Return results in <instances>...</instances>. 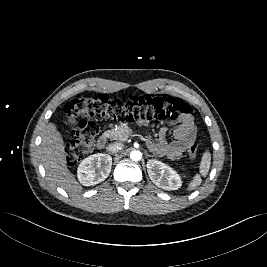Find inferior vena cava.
<instances>
[{"instance_id":"inferior-vena-cava-1","label":"inferior vena cava","mask_w":267,"mask_h":267,"mask_svg":"<svg viewBox=\"0 0 267 267\" xmlns=\"http://www.w3.org/2000/svg\"><path fill=\"white\" fill-rule=\"evenodd\" d=\"M122 149H123V144L117 143V142L116 143H111L106 147V151L109 154H115V153H117L118 151H120Z\"/></svg>"}]
</instances>
